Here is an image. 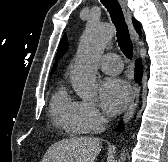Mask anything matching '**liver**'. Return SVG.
Wrapping results in <instances>:
<instances>
[{
  "label": "liver",
  "instance_id": "obj_1",
  "mask_svg": "<svg viewBox=\"0 0 168 162\" xmlns=\"http://www.w3.org/2000/svg\"><path fill=\"white\" fill-rule=\"evenodd\" d=\"M101 148L99 138L63 139L49 147L41 162H94Z\"/></svg>",
  "mask_w": 168,
  "mask_h": 162
}]
</instances>
